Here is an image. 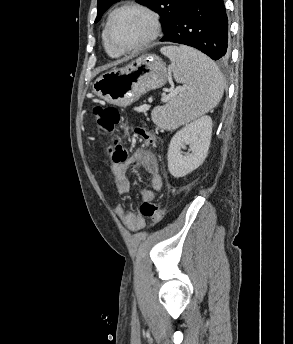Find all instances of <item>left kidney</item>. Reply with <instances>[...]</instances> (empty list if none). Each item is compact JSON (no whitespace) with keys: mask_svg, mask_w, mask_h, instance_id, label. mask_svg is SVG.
<instances>
[{"mask_svg":"<svg viewBox=\"0 0 293 344\" xmlns=\"http://www.w3.org/2000/svg\"><path fill=\"white\" fill-rule=\"evenodd\" d=\"M212 135V119L202 116L179 130L168 148V170L175 178L184 177L203 164L207 157ZM189 145L191 153L181 149Z\"/></svg>","mask_w":293,"mask_h":344,"instance_id":"obj_1","label":"left kidney"}]
</instances>
